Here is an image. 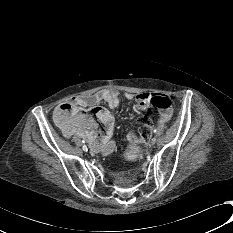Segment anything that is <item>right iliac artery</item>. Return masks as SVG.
<instances>
[{"label": "right iliac artery", "instance_id": "obj_1", "mask_svg": "<svg viewBox=\"0 0 233 233\" xmlns=\"http://www.w3.org/2000/svg\"><path fill=\"white\" fill-rule=\"evenodd\" d=\"M82 142L84 143V141H82ZM83 150H84V151H88V148H87L86 145L83 146Z\"/></svg>", "mask_w": 233, "mask_h": 233}]
</instances>
